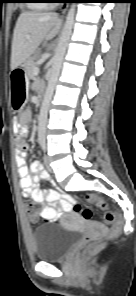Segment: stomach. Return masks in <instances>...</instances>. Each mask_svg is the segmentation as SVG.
<instances>
[{
    "label": "stomach",
    "instance_id": "1",
    "mask_svg": "<svg viewBox=\"0 0 136 296\" xmlns=\"http://www.w3.org/2000/svg\"><path fill=\"white\" fill-rule=\"evenodd\" d=\"M27 69H12L11 79L12 84H26ZM28 85H11L12 103L11 108L13 111H21L25 101H29Z\"/></svg>",
    "mask_w": 136,
    "mask_h": 296
}]
</instances>
